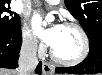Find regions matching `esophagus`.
<instances>
[{
  "instance_id": "obj_1",
  "label": "esophagus",
  "mask_w": 102,
  "mask_h": 75,
  "mask_svg": "<svg viewBox=\"0 0 102 75\" xmlns=\"http://www.w3.org/2000/svg\"><path fill=\"white\" fill-rule=\"evenodd\" d=\"M42 71L44 74H49V75H53L54 73V67L53 65L47 63V62H44L43 65H42Z\"/></svg>"
}]
</instances>
